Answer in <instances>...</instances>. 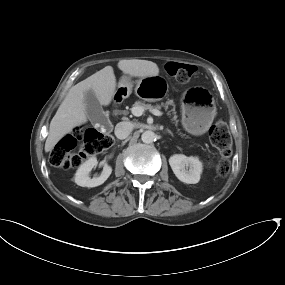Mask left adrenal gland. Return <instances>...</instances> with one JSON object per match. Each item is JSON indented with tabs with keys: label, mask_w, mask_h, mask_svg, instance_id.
<instances>
[{
	"label": "left adrenal gland",
	"mask_w": 285,
	"mask_h": 285,
	"mask_svg": "<svg viewBox=\"0 0 285 285\" xmlns=\"http://www.w3.org/2000/svg\"><path fill=\"white\" fill-rule=\"evenodd\" d=\"M167 132H168L170 135H172V136H173V134H172V132H171L170 130H167Z\"/></svg>",
	"instance_id": "obj_1"
}]
</instances>
